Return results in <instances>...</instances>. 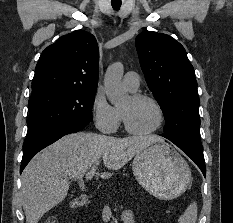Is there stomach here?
<instances>
[{"label": "stomach", "instance_id": "obj_1", "mask_svg": "<svg viewBox=\"0 0 233 223\" xmlns=\"http://www.w3.org/2000/svg\"><path fill=\"white\" fill-rule=\"evenodd\" d=\"M132 171L138 183L158 199L178 197L192 179L188 163L166 141H154L136 153Z\"/></svg>", "mask_w": 233, "mask_h": 223}]
</instances>
